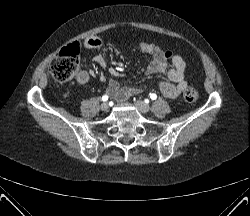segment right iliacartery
<instances>
[{"label":"right iliac artery","mask_w":250,"mask_h":216,"mask_svg":"<svg viewBox=\"0 0 250 216\" xmlns=\"http://www.w3.org/2000/svg\"><path fill=\"white\" fill-rule=\"evenodd\" d=\"M108 100V96L107 95H104L103 97H102V101H107Z\"/></svg>","instance_id":"right-iliac-artery-1"}]
</instances>
